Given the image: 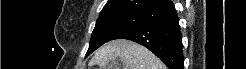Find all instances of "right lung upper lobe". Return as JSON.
<instances>
[{
  "mask_svg": "<svg viewBox=\"0 0 246 69\" xmlns=\"http://www.w3.org/2000/svg\"><path fill=\"white\" fill-rule=\"evenodd\" d=\"M170 0H108L98 19L119 15H142L147 10Z\"/></svg>",
  "mask_w": 246,
  "mask_h": 69,
  "instance_id": "cb5924a9",
  "label": "right lung upper lobe"
}]
</instances>
